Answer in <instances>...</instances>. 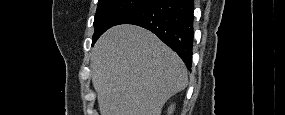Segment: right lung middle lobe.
Listing matches in <instances>:
<instances>
[{
	"mask_svg": "<svg viewBox=\"0 0 285 115\" xmlns=\"http://www.w3.org/2000/svg\"><path fill=\"white\" fill-rule=\"evenodd\" d=\"M150 0H99L94 19L95 32L92 45L110 27L121 18L140 8Z\"/></svg>",
	"mask_w": 285,
	"mask_h": 115,
	"instance_id": "obj_1",
	"label": "right lung middle lobe"
}]
</instances>
